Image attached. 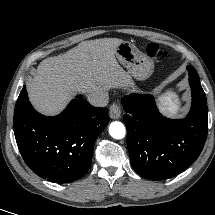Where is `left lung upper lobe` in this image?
<instances>
[{"mask_svg":"<svg viewBox=\"0 0 215 215\" xmlns=\"http://www.w3.org/2000/svg\"><path fill=\"white\" fill-rule=\"evenodd\" d=\"M187 69H188L189 71H191V70H192V67H191V66H188Z\"/></svg>","mask_w":215,"mask_h":215,"instance_id":"obj_1","label":"left lung upper lobe"}]
</instances>
